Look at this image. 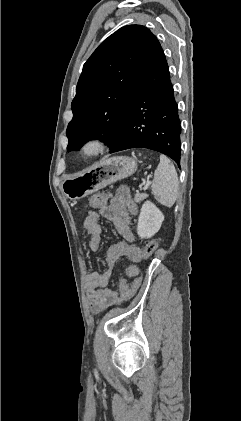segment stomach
<instances>
[{
	"label": "stomach",
	"instance_id": "stomach-1",
	"mask_svg": "<svg viewBox=\"0 0 241 421\" xmlns=\"http://www.w3.org/2000/svg\"><path fill=\"white\" fill-rule=\"evenodd\" d=\"M136 170L137 162L133 158L127 156L107 158L79 175L66 177L61 189L68 199L76 201L132 175Z\"/></svg>",
	"mask_w": 241,
	"mask_h": 421
}]
</instances>
